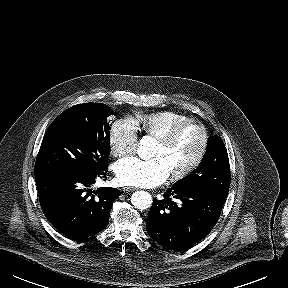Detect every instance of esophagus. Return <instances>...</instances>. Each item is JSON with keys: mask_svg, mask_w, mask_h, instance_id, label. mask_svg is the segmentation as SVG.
Returning a JSON list of instances; mask_svg holds the SVG:
<instances>
[{"mask_svg": "<svg viewBox=\"0 0 288 288\" xmlns=\"http://www.w3.org/2000/svg\"><path fill=\"white\" fill-rule=\"evenodd\" d=\"M123 190L126 191V192H132V191L137 190V188H135V187H124Z\"/></svg>", "mask_w": 288, "mask_h": 288, "instance_id": "1", "label": "esophagus"}]
</instances>
